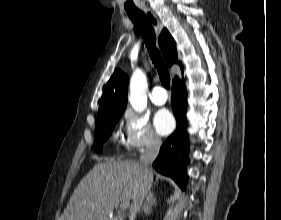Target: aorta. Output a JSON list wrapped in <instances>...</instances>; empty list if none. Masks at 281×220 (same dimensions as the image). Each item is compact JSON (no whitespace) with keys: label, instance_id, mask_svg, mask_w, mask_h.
Listing matches in <instances>:
<instances>
[{"label":"aorta","instance_id":"obj_1","mask_svg":"<svg viewBox=\"0 0 281 220\" xmlns=\"http://www.w3.org/2000/svg\"><path fill=\"white\" fill-rule=\"evenodd\" d=\"M147 81L145 74L137 69L130 79L129 102L132 108L141 113L147 107Z\"/></svg>","mask_w":281,"mask_h":220}]
</instances>
